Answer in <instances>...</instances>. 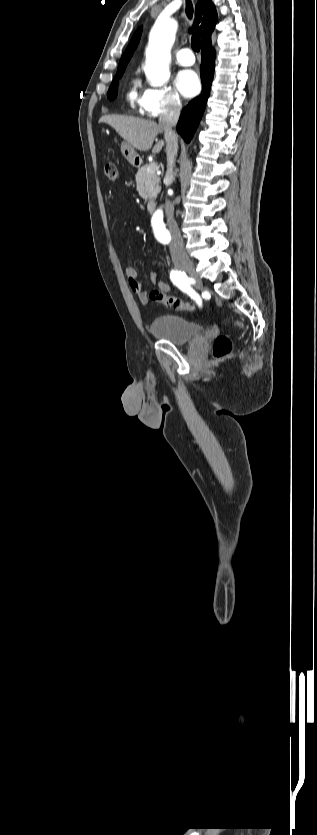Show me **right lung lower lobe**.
Segmentation results:
<instances>
[{"mask_svg":"<svg viewBox=\"0 0 317 835\" xmlns=\"http://www.w3.org/2000/svg\"><path fill=\"white\" fill-rule=\"evenodd\" d=\"M201 50V79L203 90L199 96L191 100L189 104L182 110L181 117L177 125V132L183 137V139L186 142H189L191 140L202 117L207 99L210 94V88L214 74L215 51L212 47L211 39L202 43Z\"/></svg>","mask_w":317,"mask_h":835,"instance_id":"1","label":"right lung lower lobe"}]
</instances>
